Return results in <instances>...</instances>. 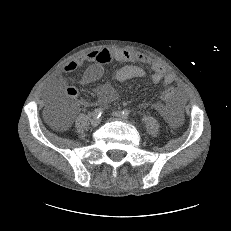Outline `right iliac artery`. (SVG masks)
<instances>
[{"instance_id":"1","label":"right iliac artery","mask_w":231,"mask_h":231,"mask_svg":"<svg viewBox=\"0 0 231 231\" xmlns=\"http://www.w3.org/2000/svg\"><path fill=\"white\" fill-rule=\"evenodd\" d=\"M103 113V109L102 108H97L94 110L93 112V116L95 118H99L101 116V114Z\"/></svg>"}]
</instances>
